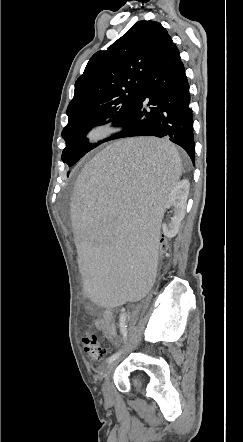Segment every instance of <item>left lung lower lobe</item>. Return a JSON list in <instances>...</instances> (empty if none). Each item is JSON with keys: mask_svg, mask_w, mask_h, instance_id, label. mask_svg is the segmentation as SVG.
I'll return each instance as SVG.
<instances>
[{"mask_svg": "<svg viewBox=\"0 0 243 442\" xmlns=\"http://www.w3.org/2000/svg\"><path fill=\"white\" fill-rule=\"evenodd\" d=\"M119 126L123 130L104 142L134 136L164 137L181 146L194 163L189 84L171 37L148 71L134 111Z\"/></svg>", "mask_w": 243, "mask_h": 442, "instance_id": "1", "label": "left lung lower lobe"}]
</instances>
